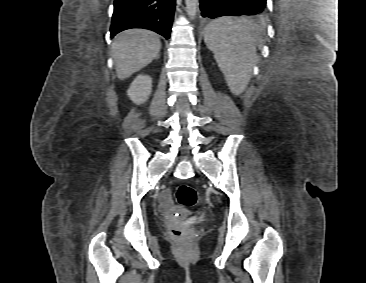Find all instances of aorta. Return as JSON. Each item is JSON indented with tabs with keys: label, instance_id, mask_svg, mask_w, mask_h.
<instances>
[{
	"label": "aorta",
	"instance_id": "762f6f07",
	"mask_svg": "<svg viewBox=\"0 0 366 283\" xmlns=\"http://www.w3.org/2000/svg\"><path fill=\"white\" fill-rule=\"evenodd\" d=\"M187 15L190 19H194L197 13L198 0H185Z\"/></svg>",
	"mask_w": 366,
	"mask_h": 283
}]
</instances>
